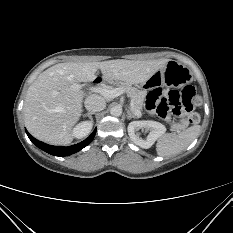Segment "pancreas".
<instances>
[{
    "label": "pancreas",
    "mask_w": 233,
    "mask_h": 233,
    "mask_svg": "<svg viewBox=\"0 0 233 233\" xmlns=\"http://www.w3.org/2000/svg\"><path fill=\"white\" fill-rule=\"evenodd\" d=\"M119 88H122L123 91L130 97L131 103L133 104L134 109L143 110V103L145 98V93L129 85L120 84ZM186 127V124H173V129L182 130Z\"/></svg>",
    "instance_id": "cf45deb5"
}]
</instances>
